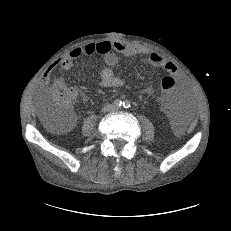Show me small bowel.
<instances>
[{
	"label": "small bowel",
	"instance_id": "1",
	"mask_svg": "<svg viewBox=\"0 0 231 231\" xmlns=\"http://www.w3.org/2000/svg\"><path fill=\"white\" fill-rule=\"evenodd\" d=\"M144 53H146V50L131 46L123 42L101 41L97 43L86 44L71 50L54 66H60L63 69H69L74 66L76 59H78L80 56L99 54L103 56V61L105 63V67L101 70L100 73V86L107 88L123 87L126 85V81L123 78L117 76L113 70V67L117 64L118 55L120 54L127 57H132ZM148 62L152 66L163 68L173 78H178L180 76L177 66L174 63L167 61L161 54L157 52L149 53ZM49 84L50 79L49 76L46 75L42 81V85L48 86ZM59 86H61V82H56L53 84V89ZM81 98L83 101H86L88 96L86 93L82 92ZM169 101L170 97L168 95H164L161 98L162 107L166 111Z\"/></svg>",
	"mask_w": 231,
	"mask_h": 231
}]
</instances>
